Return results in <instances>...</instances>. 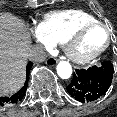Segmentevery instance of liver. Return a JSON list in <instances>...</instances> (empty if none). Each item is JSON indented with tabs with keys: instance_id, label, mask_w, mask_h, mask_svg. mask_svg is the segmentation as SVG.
I'll return each instance as SVG.
<instances>
[{
	"instance_id": "6515ba94",
	"label": "liver",
	"mask_w": 117,
	"mask_h": 117,
	"mask_svg": "<svg viewBox=\"0 0 117 117\" xmlns=\"http://www.w3.org/2000/svg\"><path fill=\"white\" fill-rule=\"evenodd\" d=\"M30 33L10 13H0V96L15 93L24 83Z\"/></svg>"
}]
</instances>
